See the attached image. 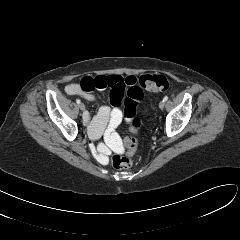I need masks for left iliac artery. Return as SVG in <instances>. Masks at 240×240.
<instances>
[{
	"instance_id": "1",
	"label": "left iliac artery",
	"mask_w": 240,
	"mask_h": 240,
	"mask_svg": "<svg viewBox=\"0 0 240 240\" xmlns=\"http://www.w3.org/2000/svg\"><path fill=\"white\" fill-rule=\"evenodd\" d=\"M167 100H168V96H165V97L163 98V101L166 102Z\"/></svg>"
}]
</instances>
